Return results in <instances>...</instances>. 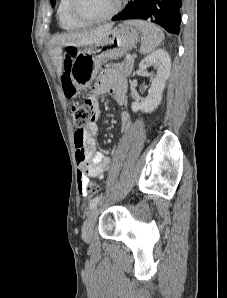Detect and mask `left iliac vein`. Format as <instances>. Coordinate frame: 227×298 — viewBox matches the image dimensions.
<instances>
[{"mask_svg": "<svg viewBox=\"0 0 227 298\" xmlns=\"http://www.w3.org/2000/svg\"><path fill=\"white\" fill-rule=\"evenodd\" d=\"M99 213V207H94L93 210L89 213L87 219L85 220L82 227V238L85 241H90L93 235V230L95 223L97 221Z\"/></svg>", "mask_w": 227, "mask_h": 298, "instance_id": "1", "label": "left iliac vein"}]
</instances>
